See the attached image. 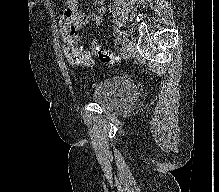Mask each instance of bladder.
<instances>
[{
    "instance_id": "bladder-1",
    "label": "bladder",
    "mask_w": 219,
    "mask_h": 192,
    "mask_svg": "<svg viewBox=\"0 0 219 192\" xmlns=\"http://www.w3.org/2000/svg\"><path fill=\"white\" fill-rule=\"evenodd\" d=\"M94 103L109 112L128 109L137 97V88L132 80L113 78L101 81L90 90Z\"/></svg>"
}]
</instances>
